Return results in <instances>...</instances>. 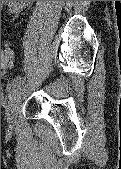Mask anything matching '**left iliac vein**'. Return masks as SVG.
<instances>
[{"instance_id":"4c4485c4","label":"left iliac vein","mask_w":121,"mask_h":169,"mask_svg":"<svg viewBox=\"0 0 121 169\" xmlns=\"http://www.w3.org/2000/svg\"><path fill=\"white\" fill-rule=\"evenodd\" d=\"M24 94L25 89L22 87L18 88L12 95L10 105L7 109V120L10 125H14L16 123L18 109Z\"/></svg>"}]
</instances>
